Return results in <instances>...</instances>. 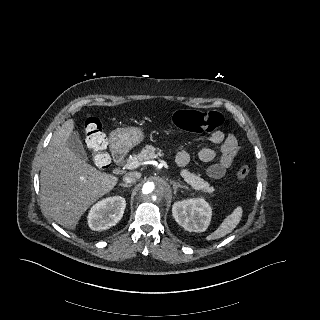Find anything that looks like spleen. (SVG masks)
I'll use <instances>...</instances> for the list:
<instances>
[{
	"instance_id": "1",
	"label": "spleen",
	"mask_w": 320,
	"mask_h": 320,
	"mask_svg": "<svg viewBox=\"0 0 320 320\" xmlns=\"http://www.w3.org/2000/svg\"><path fill=\"white\" fill-rule=\"evenodd\" d=\"M242 213V208L240 206L236 207L233 212L223 220L220 226L206 237V240L219 239L231 233L241 221Z\"/></svg>"
}]
</instances>
